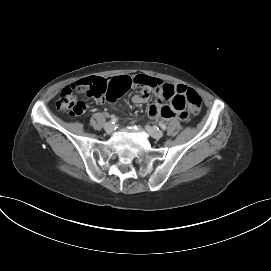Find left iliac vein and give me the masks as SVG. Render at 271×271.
<instances>
[{
  "label": "left iliac vein",
  "mask_w": 271,
  "mask_h": 271,
  "mask_svg": "<svg viewBox=\"0 0 271 271\" xmlns=\"http://www.w3.org/2000/svg\"><path fill=\"white\" fill-rule=\"evenodd\" d=\"M146 131L148 132V134L155 138V139H160L163 137V132L161 130H158L154 127L151 126H146Z\"/></svg>",
  "instance_id": "1"
}]
</instances>
